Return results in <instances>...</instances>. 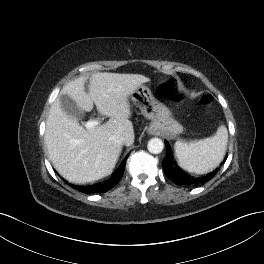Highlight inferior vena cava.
<instances>
[{
	"label": "inferior vena cava",
	"instance_id": "602c4592",
	"mask_svg": "<svg viewBox=\"0 0 264 264\" xmlns=\"http://www.w3.org/2000/svg\"><path fill=\"white\" fill-rule=\"evenodd\" d=\"M111 140L120 145H122L123 143H126V139L121 136H112Z\"/></svg>",
	"mask_w": 264,
	"mask_h": 264
}]
</instances>
